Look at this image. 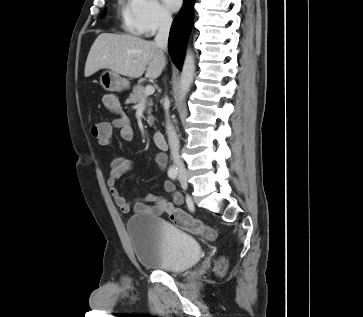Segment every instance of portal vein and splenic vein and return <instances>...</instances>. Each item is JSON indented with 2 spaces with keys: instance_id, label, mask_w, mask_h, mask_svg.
<instances>
[{
  "instance_id": "portal-vein-and-splenic-vein-1",
  "label": "portal vein and splenic vein",
  "mask_w": 363,
  "mask_h": 317,
  "mask_svg": "<svg viewBox=\"0 0 363 317\" xmlns=\"http://www.w3.org/2000/svg\"><path fill=\"white\" fill-rule=\"evenodd\" d=\"M155 92V89L152 85H147L145 88V95H152Z\"/></svg>"
}]
</instances>
